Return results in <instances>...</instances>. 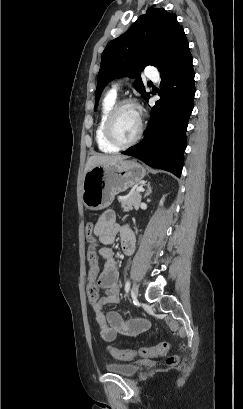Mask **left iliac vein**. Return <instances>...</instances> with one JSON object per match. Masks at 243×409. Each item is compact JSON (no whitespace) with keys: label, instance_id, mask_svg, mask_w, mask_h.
I'll use <instances>...</instances> for the list:
<instances>
[{"label":"left iliac vein","instance_id":"left-iliac-vein-1","mask_svg":"<svg viewBox=\"0 0 243 409\" xmlns=\"http://www.w3.org/2000/svg\"><path fill=\"white\" fill-rule=\"evenodd\" d=\"M132 294H133V298H134V299H137V297H138V292H137L136 288H133V289H132Z\"/></svg>","mask_w":243,"mask_h":409}]
</instances>
